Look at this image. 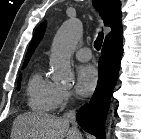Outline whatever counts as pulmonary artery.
<instances>
[{"instance_id": "obj_1", "label": "pulmonary artery", "mask_w": 141, "mask_h": 139, "mask_svg": "<svg viewBox=\"0 0 141 139\" xmlns=\"http://www.w3.org/2000/svg\"><path fill=\"white\" fill-rule=\"evenodd\" d=\"M75 57L78 60L85 62L91 59L92 53L89 48L83 47L75 52Z\"/></svg>"}]
</instances>
